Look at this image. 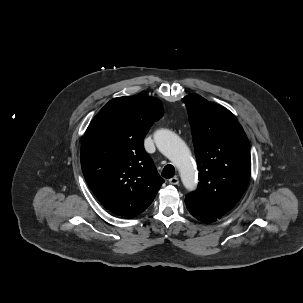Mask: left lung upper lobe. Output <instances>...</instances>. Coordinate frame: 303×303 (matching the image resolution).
<instances>
[{
    "mask_svg": "<svg viewBox=\"0 0 303 303\" xmlns=\"http://www.w3.org/2000/svg\"><path fill=\"white\" fill-rule=\"evenodd\" d=\"M182 101L189 115L200 180L185 203L220 219L236 205L248 185L249 141L225 107L198 94L187 95Z\"/></svg>",
    "mask_w": 303,
    "mask_h": 303,
    "instance_id": "1",
    "label": "left lung upper lobe"
}]
</instances>
